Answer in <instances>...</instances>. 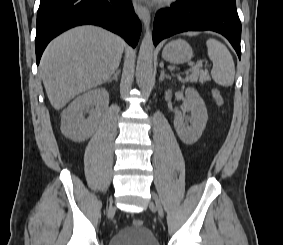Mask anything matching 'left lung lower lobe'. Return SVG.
<instances>
[{
    "label": "left lung lower lobe",
    "mask_w": 283,
    "mask_h": 245,
    "mask_svg": "<svg viewBox=\"0 0 283 245\" xmlns=\"http://www.w3.org/2000/svg\"><path fill=\"white\" fill-rule=\"evenodd\" d=\"M211 30L225 36L241 58V22L236 4L223 0H178L158 12L154 19L153 40L185 31Z\"/></svg>",
    "instance_id": "obj_1"
}]
</instances>
